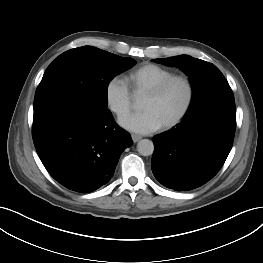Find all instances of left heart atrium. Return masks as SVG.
Returning <instances> with one entry per match:
<instances>
[{"label":"left heart atrium","mask_w":263,"mask_h":263,"mask_svg":"<svg viewBox=\"0 0 263 263\" xmlns=\"http://www.w3.org/2000/svg\"><path fill=\"white\" fill-rule=\"evenodd\" d=\"M120 125L137 134H149L160 129L163 122L153 110L145 109L122 118Z\"/></svg>","instance_id":"1"}]
</instances>
